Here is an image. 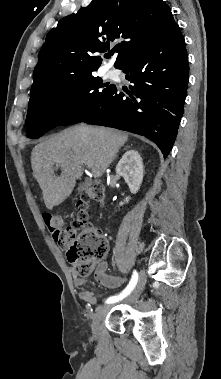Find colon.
I'll list each match as a JSON object with an SVG mask.
<instances>
[{
  "instance_id": "obj_1",
  "label": "colon",
  "mask_w": 221,
  "mask_h": 379,
  "mask_svg": "<svg viewBox=\"0 0 221 379\" xmlns=\"http://www.w3.org/2000/svg\"><path fill=\"white\" fill-rule=\"evenodd\" d=\"M105 191L101 185H93L82 190L77 207V217L65 226L63 218L57 214H44V223L54 240L67 249V258L79 276L90 275L95 265L107 251V243L100 230L93 227L87 213L90 202L102 204Z\"/></svg>"
}]
</instances>
